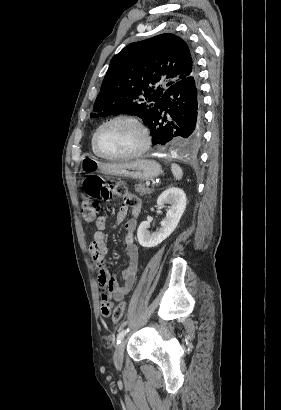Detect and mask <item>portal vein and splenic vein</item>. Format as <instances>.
Returning <instances> with one entry per match:
<instances>
[{"label": "portal vein and splenic vein", "mask_w": 281, "mask_h": 410, "mask_svg": "<svg viewBox=\"0 0 281 410\" xmlns=\"http://www.w3.org/2000/svg\"><path fill=\"white\" fill-rule=\"evenodd\" d=\"M150 185V182H146V186H149Z\"/></svg>", "instance_id": "portal-vein-and-splenic-vein-1"}]
</instances>
